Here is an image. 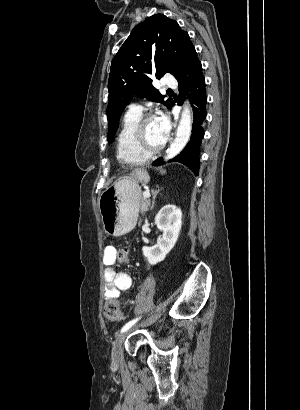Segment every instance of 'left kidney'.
Segmentation results:
<instances>
[{"instance_id": "left-kidney-1", "label": "left kidney", "mask_w": 300, "mask_h": 410, "mask_svg": "<svg viewBox=\"0 0 300 410\" xmlns=\"http://www.w3.org/2000/svg\"><path fill=\"white\" fill-rule=\"evenodd\" d=\"M155 224L163 231L162 237L154 246L142 248L143 255L150 265L163 261L175 246L182 226V212L175 205H165L156 215Z\"/></svg>"}]
</instances>
